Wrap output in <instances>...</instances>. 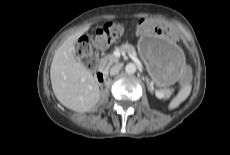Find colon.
Returning a JSON list of instances; mask_svg holds the SVG:
<instances>
[{
  "mask_svg": "<svg viewBox=\"0 0 230 155\" xmlns=\"http://www.w3.org/2000/svg\"><path fill=\"white\" fill-rule=\"evenodd\" d=\"M124 30L118 23L107 22L97 29L93 37L83 35L77 45V53L88 68H94L97 63L94 49H105L114 41L123 36ZM187 77V71L183 72V79Z\"/></svg>",
  "mask_w": 230,
  "mask_h": 155,
  "instance_id": "colon-1",
  "label": "colon"
}]
</instances>
